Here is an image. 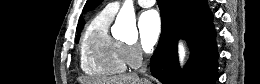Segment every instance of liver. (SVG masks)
<instances>
[{
	"label": "liver",
	"mask_w": 260,
	"mask_h": 84,
	"mask_svg": "<svg viewBox=\"0 0 260 84\" xmlns=\"http://www.w3.org/2000/svg\"><path fill=\"white\" fill-rule=\"evenodd\" d=\"M86 84H149L147 80H141L137 74L106 77L98 80H86Z\"/></svg>",
	"instance_id": "liver-1"
}]
</instances>
